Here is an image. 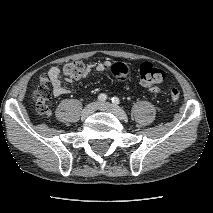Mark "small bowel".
I'll return each instance as SVG.
<instances>
[{
	"label": "small bowel",
	"mask_w": 213,
	"mask_h": 213,
	"mask_svg": "<svg viewBox=\"0 0 213 213\" xmlns=\"http://www.w3.org/2000/svg\"><path fill=\"white\" fill-rule=\"evenodd\" d=\"M112 63L108 61L99 62L96 64H88L86 67V73H89L91 71H108L111 70ZM51 85V91L53 97H60L66 93L69 92V89L63 85L62 79H61V70L59 67H51L48 71L45 77H42ZM41 78V79H42ZM150 91L154 94L159 93L160 89L157 86L150 87Z\"/></svg>",
	"instance_id": "c3829d8e"
}]
</instances>
